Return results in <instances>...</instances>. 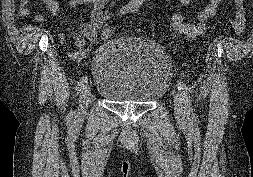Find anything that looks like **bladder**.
<instances>
[{
    "mask_svg": "<svg viewBox=\"0 0 253 177\" xmlns=\"http://www.w3.org/2000/svg\"><path fill=\"white\" fill-rule=\"evenodd\" d=\"M95 91L114 103H151L165 93L171 66L151 41L111 38L97 50L91 67Z\"/></svg>",
    "mask_w": 253,
    "mask_h": 177,
    "instance_id": "bladder-1",
    "label": "bladder"
}]
</instances>
